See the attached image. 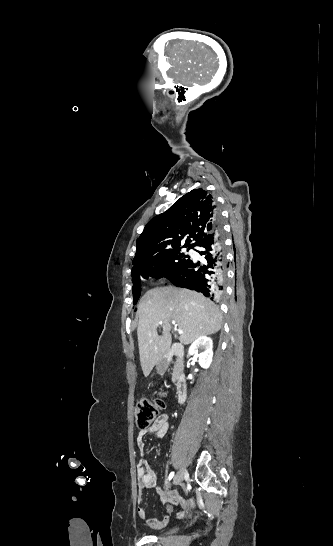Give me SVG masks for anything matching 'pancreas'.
<instances>
[{
  "instance_id": "pancreas-1",
  "label": "pancreas",
  "mask_w": 333,
  "mask_h": 546,
  "mask_svg": "<svg viewBox=\"0 0 333 546\" xmlns=\"http://www.w3.org/2000/svg\"><path fill=\"white\" fill-rule=\"evenodd\" d=\"M177 379H178V377H177V376H175V375H174V376H172V381H173V382H176V381H177Z\"/></svg>"
}]
</instances>
